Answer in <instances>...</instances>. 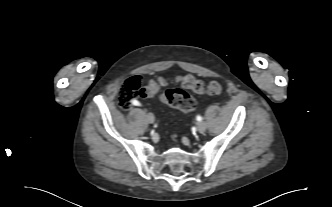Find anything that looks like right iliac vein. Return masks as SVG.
Masks as SVG:
<instances>
[{
	"mask_svg": "<svg viewBox=\"0 0 332 207\" xmlns=\"http://www.w3.org/2000/svg\"><path fill=\"white\" fill-rule=\"evenodd\" d=\"M146 118H147V121H148L150 124L154 123V121H155V117H154V115H153L152 113H150V112L146 114Z\"/></svg>",
	"mask_w": 332,
	"mask_h": 207,
	"instance_id": "63e3f726",
	"label": "right iliac vein"
}]
</instances>
